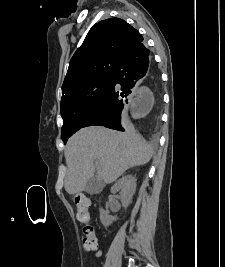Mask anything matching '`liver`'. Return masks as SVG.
<instances>
[{
    "label": "liver",
    "instance_id": "obj_1",
    "mask_svg": "<svg viewBox=\"0 0 225 267\" xmlns=\"http://www.w3.org/2000/svg\"><path fill=\"white\" fill-rule=\"evenodd\" d=\"M152 154L151 146L139 134L99 126L82 128L68 140L65 148L68 167L65 190L69 194L86 190L95 168L98 180L111 183L127 169L148 163Z\"/></svg>",
    "mask_w": 225,
    "mask_h": 267
}]
</instances>
